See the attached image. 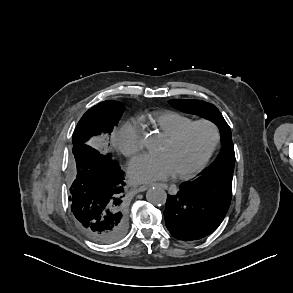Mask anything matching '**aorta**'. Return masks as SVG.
Masks as SVG:
<instances>
[{"label": "aorta", "instance_id": "aorta-1", "mask_svg": "<svg viewBox=\"0 0 293 293\" xmlns=\"http://www.w3.org/2000/svg\"><path fill=\"white\" fill-rule=\"evenodd\" d=\"M144 145L147 149H150L154 145V140L151 138H147L144 140ZM146 199L148 202L155 206H161L164 205L166 202L167 193L162 188H150L146 193Z\"/></svg>", "mask_w": 293, "mask_h": 293}]
</instances>
